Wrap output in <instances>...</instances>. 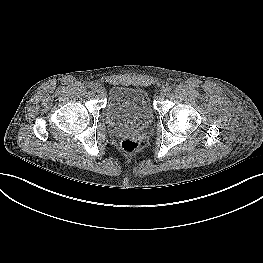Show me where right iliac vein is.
Masks as SVG:
<instances>
[{"label":"right iliac vein","instance_id":"right-iliac-vein-1","mask_svg":"<svg viewBox=\"0 0 263 263\" xmlns=\"http://www.w3.org/2000/svg\"><path fill=\"white\" fill-rule=\"evenodd\" d=\"M94 90H95V92H98V93H101L103 91L102 88H100L98 86H95Z\"/></svg>","mask_w":263,"mask_h":263}]
</instances>
